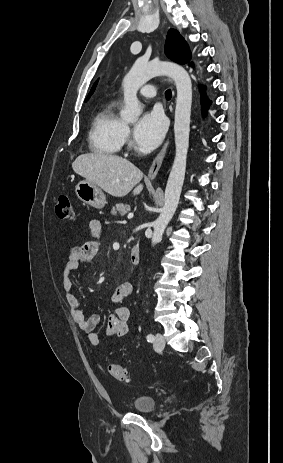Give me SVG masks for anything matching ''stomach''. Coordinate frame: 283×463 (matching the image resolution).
Here are the masks:
<instances>
[{
	"label": "stomach",
	"mask_w": 283,
	"mask_h": 463,
	"mask_svg": "<svg viewBox=\"0 0 283 463\" xmlns=\"http://www.w3.org/2000/svg\"><path fill=\"white\" fill-rule=\"evenodd\" d=\"M75 192L82 202L93 208L102 209L106 204V197L102 190L90 181H80L75 187Z\"/></svg>",
	"instance_id": "obj_1"
}]
</instances>
